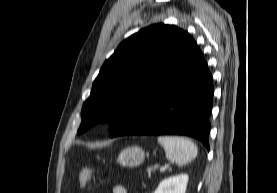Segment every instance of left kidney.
<instances>
[{"label": "left kidney", "mask_w": 277, "mask_h": 193, "mask_svg": "<svg viewBox=\"0 0 277 193\" xmlns=\"http://www.w3.org/2000/svg\"><path fill=\"white\" fill-rule=\"evenodd\" d=\"M187 183V174H180L169 177L160 182L154 193H185Z\"/></svg>", "instance_id": "left-kidney-1"}]
</instances>
